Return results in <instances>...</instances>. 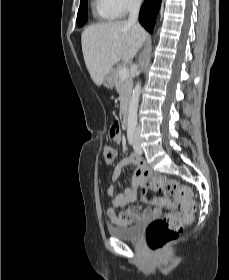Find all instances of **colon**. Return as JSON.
<instances>
[{
  "label": "colon",
  "mask_w": 229,
  "mask_h": 280,
  "mask_svg": "<svg viewBox=\"0 0 229 280\" xmlns=\"http://www.w3.org/2000/svg\"><path fill=\"white\" fill-rule=\"evenodd\" d=\"M118 123H114L110 128V133L118 131ZM104 161L111 165L116 156V150L111 144H106L102 150ZM147 185L152 189L163 190L167 195L182 207L152 221L146 229V242L152 251H160L170 242L175 240L179 232L191 221L195 209L193 192L190 188L180 184L177 180L166 179L161 174H151L146 177Z\"/></svg>",
  "instance_id": "1"
}]
</instances>
